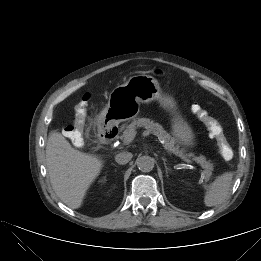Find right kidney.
I'll return each instance as SVG.
<instances>
[{"label":"right kidney","instance_id":"obj_1","mask_svg":"<svg viewBox=\"0 0 261 261\" xmlns=\"http://www.w3.org/2000/svg\"><path fill=\"white\" fill-rule=\"evenodd\" d=\"M106 181V179L104 178V179H102L100 182H105Z\"/></svg>","mask_w":261,"mask_h":261}]
</instances>
